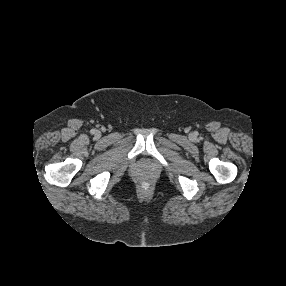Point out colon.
<instances>
[{"instance_id":"colon-1","label":"colon","mask_w":286,"mask_h":286,"mask_svg":"<svg viewBox=\"0 0 286 286\" xmlns=\"http://www.w3.org/2000/svg\"><path fill=\"white\" fill-rule=\"evenodd\" d=\"M141 186H142V188H147L149 186V181L146 179H143L141 181Z\"/></svg>"}]
</instances>
